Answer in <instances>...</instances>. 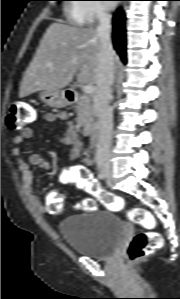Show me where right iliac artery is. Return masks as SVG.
<instances>
[{"label": "right iliac artery", "instance_id": "82829eb1", "mask_svg": "<svg viewBox=\"0 0 180 299\" xmlns=\"http://www.w3.org/2000/svg\"><path fill=\"white\" fill-rule=\"evenodd\" d=\"M98 178L101 179V180H103L105 178V175L103 173H99L98 174Z\"/></svg>", "mask_w": 180, "mask_h": 299}]
</instances>
